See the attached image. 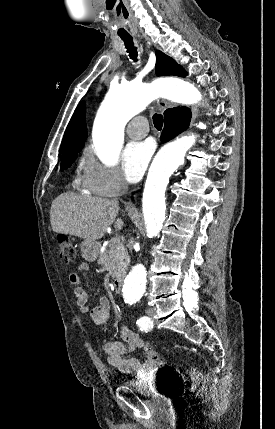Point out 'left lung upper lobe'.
<instances>
[{"label": "left lung upper lobe", "instance_id": "1", "mask_svg": "<svg viewBox=\"0 0 275 429\" xmlns=\"http://www.w3.org/2000/svg\"><path fill=\"white\" fill-rule=\"evenodd\" d=\"M156 56L157 61L155 69L158 76L176 75L185 77L187 75L186 71L171 57L165 55L161 51H156Z\"/></svg>", "mask_w": 275, "mask_h": 429}]
</instances>
